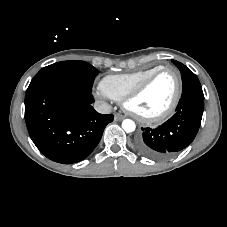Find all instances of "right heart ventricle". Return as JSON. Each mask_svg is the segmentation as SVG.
Masks as SVG:
<instances>
[{"label":"right heart ventricle","mask_w":227,"mask_h":227,"mask_svg":"<svg viewBox=\"0 0 227 227\" xmlns=\"http://www.w3.org/2000/svg\"><path fill=\"white\" fill-rule=\"evenodd\" d=\"M163 66H154L130 73L107 75L100 81V90L114 100H122L126 94L153 72Z\"/></svg>","instance_id":"e07e8e85"}]
</instances>
